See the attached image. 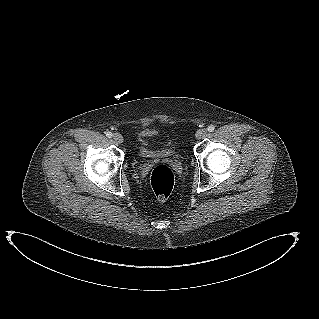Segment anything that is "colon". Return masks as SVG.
<instances>
[{"instance_id":"colon-1","label":"colon","mask_w":319,"mask_h":319,"mask_svg":"<svg viewBox=\"0 0 319 319\" xmlns=\"http://www.w3.org/2000/svg\"><path fill=\"white\" fill-rule=\"evenodd\" d=\"M175 183L173 171L164 164L157 165L151 172L150 184L157 198L167 199Z\"/></svg>"}]
</instances>
